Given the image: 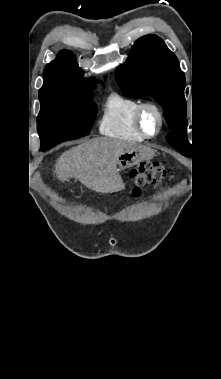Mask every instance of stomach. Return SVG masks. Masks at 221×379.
<instances>
[{
    "label": "stomach",
    "mask_w": 221,
    "mask_h": 379,
    "mask_svg": "<svg viewBox=\"0 0 221 379\" xmlns=\"http://www.w3.org/2000/svg\"><path fill=\"white\" fill-rule=\"evenodd\" d=\"M154 156V151L142 145H134L126 148L118 157L117 164L120 170L130 168L138 163L149 160Z\"/></svg>",
    "instance_id": "1"
}]
</instances>
